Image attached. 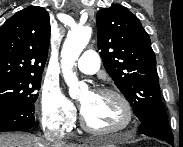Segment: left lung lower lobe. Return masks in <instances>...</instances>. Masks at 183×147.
Masks as SVG:
<instances>
[{
    "mask_svg": "<svg viewBox=\"0 0 183 147\" xmlns=\"http://www.w3.org/2000/svg\"><path fill=\"white\" fill-rule=\"evenodd\" d=\"M139 131L146 136L155 137L173 145V134L168 121L148 120L141 122Z\"/></svg>",
    "mask_w": 183,
    "mask_h": 147,
    "instance_id": "0a47b994",
    "label": "left lung lower lobe"
}]
</instances>
